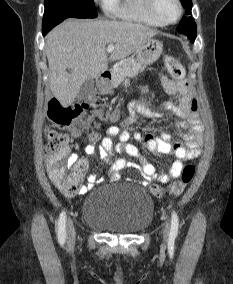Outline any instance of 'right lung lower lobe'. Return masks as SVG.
Instances as JSON below:
<instances>
[{"label": "right lung lower lobe", "mask_w": 233, "mask_h": 284, "mask_svg": "<svg viewBox=\"0 0 233 284\" xmlns=\"http://www.w3.org/2000/svg\"><path fill=\"white\" fill-rule=\"evenodd\" d=\"M50 30H51L50 28L42 29V31H43V35H46V33H47L48 31H50Z\"/></svg>", "instance_id": "98d812e1"}]
</instances>
